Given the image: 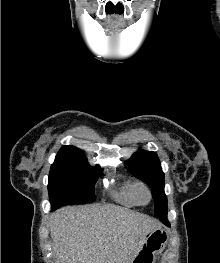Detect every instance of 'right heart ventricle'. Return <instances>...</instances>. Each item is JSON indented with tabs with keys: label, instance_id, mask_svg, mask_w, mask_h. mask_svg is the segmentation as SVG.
Here are the masks:
<instances>
[{
	"label": "right heart ventricle",
	"instance_id": "1",
	"mask_svg": "<svg viewBox=\"0 0 220 263\" xmlns=\"http://www.w3.org/2000/svg\"><path fill=\"white\" fill-rule=\"evenodd\" d=\"M137 183L125 182L117 190L113 192L114 199L125 206H135L138 204L136 199Z\"/></svg>",
	"mask_w": 220,
	"mask_h": 263
}]
</instances>
